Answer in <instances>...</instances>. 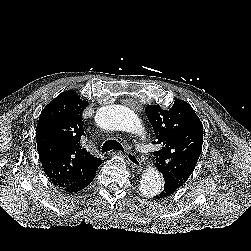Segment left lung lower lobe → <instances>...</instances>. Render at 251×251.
I'll return each mask as SVG.
<instances>
[{
    "mask_svg": "<svg viewBox=\"0 0 251 251\" xmlns=\"http://www.w3.org/2000/svg\"><path fill=\"white\" fill-rule=\"evenodd\" d=\"M163 187L161 188L160 192L155 195V199H164L171 196L177 189L180 187L177 182L174 181L172 178H165Z\"/></svg>",
    "mask_w": 251,
    "mask_h": 251,
    "instance_id": "0a47b994",
    "label": "left lung lower lobe"
}]
</instances>
